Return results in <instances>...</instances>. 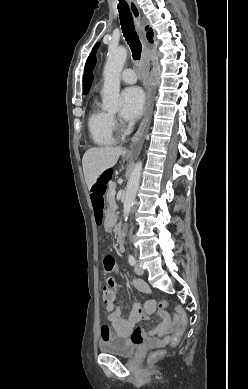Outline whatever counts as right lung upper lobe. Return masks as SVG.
Instances as JSON below:
<instances>
[{"instance_id":"cb5924a9","label":"right lung upper lobe","mask_w":248,"mask_h":389,"mask_svg":"<svg viewBox=\"0 0 248 389\" xmlns=\"http://www.w3.org/2000/svg\"><path fill=\"white\" fill-rule=\"evenodd\" d=\"M147 29V33H146V36H147V39L150 43L153 42L152 38H153V30L150 28L148 29V27H146Z\"/></svg>"}]
</instances>
